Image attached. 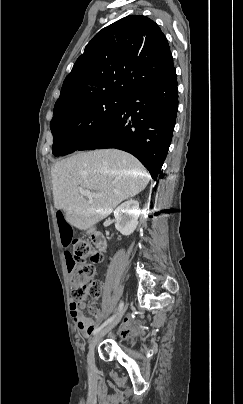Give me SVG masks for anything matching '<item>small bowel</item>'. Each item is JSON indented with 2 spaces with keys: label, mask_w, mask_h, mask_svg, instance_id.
<instances>
[{
  "label": "small bowel",
  "mask_w": 243,
  "mask_h": 404,
  "mask_svg": "<svg viewBox=\"0 0 243 404\" xmlns=\"http://www.w3.org/2000/svg\"><path fill=\"white\" fill-rule=\"evenodd\" d=\"M58 226L61 235V241L63 246L69 245L72 238V230L69 224L66 223L61 213H58ZM64 257L68 266V269L72 271V259L73 255L69 251H65ZM85 307L84 301H74L71 303V315L77 326V328L82 332L85 337H88L97 327L98 323L101 319V314L99 312H95V319H89L85 317L82 312V309ZM133 326V321L131 319H125L122 323V330L127 331L131 330Z\"/></svg>",
  "instance_id": "1"
}]
</instances>
